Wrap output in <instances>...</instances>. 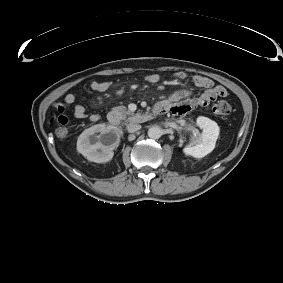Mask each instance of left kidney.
<instances>
[{"label":"left kidney","mask_w":283,"mask_h":283,"mask_svg":"<svg viewBox=\"0 0 283 283\" xmlns=\"http://www.w3.org/2000/svg\"><path fill=\"white\" fill-rule=\"evenodd\" d=\"M196 122L202 133L194 134L191 143L183 148V152L194 158H203L215 148L220 129L215 121L204 116H199Z\"/></svg>","instance_id":"1"}]
</instances>
